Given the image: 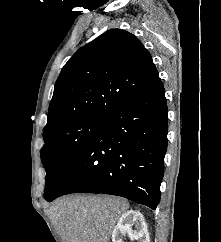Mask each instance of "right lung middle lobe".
Wrapping results in <instances>:
<instances>
[{
  "instance_id": "1",
  "label": "right lung middle lobe",
  "mask_w": 221,
  "mask_h": 242,
  "mask_svg": "<svg viewBox=\"0 0 221 242\" xmlns=\"http://www.w3.org/2000/svg\"><path fill=\"white\" fill-rule=\"evenodd\" d=\"M102 123L103 118H82L43 133L41 160L46 169V200L69 162Z\"/></svg>"
}]
</instances>
